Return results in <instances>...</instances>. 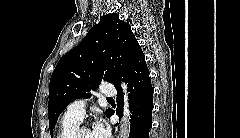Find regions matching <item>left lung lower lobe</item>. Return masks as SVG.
I'll return each mask as SVG.
<instances>
[{
  "mask_svg": "<svg viewBox=\"0 0 240 138\" xmlns=\"http://www.w3.org/2000/svg\"><path fill=\"white\" fill-rule=\"evenodd\" d=\"M143 51H140L124 77L127 84L130 103L131 131L129 138H149L151 116L153 110V87L149 77ZM117 103L116 114L122 116L123 93L120 84L116 87ZM114 114L110 111L107 117Z\"/></svg>",
  "mask_w": 240,
  "mask_h": 138,
  "instance_id": "obj_1",
  "label": "left lung lower lobe"
}]
</instances>
